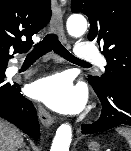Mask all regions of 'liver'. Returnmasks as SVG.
<instances>
[{
	"instance_id": "1",
	"label": "liver",
	"mask_w": 131,
	"mask_h": 151,
	"mask_svg": "<svg viewBox=\"0 0 131 151\" xmlns=\"http://www.w3.org/2000/svg\"><path fill=\"white\" fill-rule=\"evenodd\" d=\"M22 141L20 131L8 122L0 119V151H17Z\"/></svg>"
}]
</instances>
